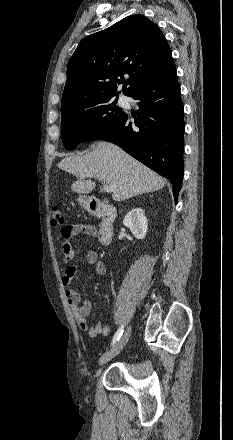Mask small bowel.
Masks as SVG:
<instances>
[{"label":"small bowel","instance_id":"c3829d8e","mask_svg":"<svg viewBox=\"0 0 233 440\" xmlns=\"http://www.w3.org/2000/svg\"><path fill=\"white\" fill-rule=\"evenodd\" d=\"M80 234L94 237L96 235V228L92 224L84 223L65 225L61 228V238L63 239L62 254L65 263H69L75 254L74 249L70 244V240ZM84 261L87 264L94 266L96 275L100 276L106 273V266L104 262L99 259L96 251H88L84 257ZM76 272L77 266L70 264L66 267L61 277L62 285L67 287L66 298L73 317L80 330L87 333L90 337L96 338L98 336H106L111 332V328L109 326H104L101 322L91 326L87 322V317L92 310L91 303L88 300H83L77 290L69 287Z\"/></svg>","mask_w":233,"mask_h":440}]
</instances>
